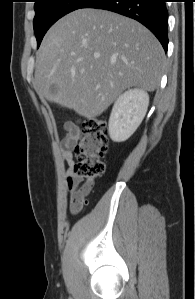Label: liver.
<instances>
[{
	"label": "liver",
	"instance_id": "liver-1",
	"mask_svg": "<svg viewBox=\"0 0 195 299\" xmlns=\"http://www.w3.org/2000/svg\"><path fill=\"white\" fill-rule=\"evenodd\" d=\"M165 59L159 41L139 22L106 10L78 9L43 38L34 87L49 102L94 118L128 88L154 91Z\"/></svg>",
	"mask_w": 195,
	"mask_h": 299
}]
</instances>
